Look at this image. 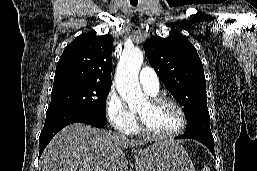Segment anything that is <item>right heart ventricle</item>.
Instances as JSON below:
<instances>
[{
    "mask_svg": "<svg viewBox=\"0 0 257 171\" xmlns=\"http://www.w3.org/2000/svg\"><path fill=\"white\" fill-rule=\"evenodd\" d=\"M150 95L154 96L156 94H150ZM138 132H139V128H138V125H137V123L135 121L133 126L130 128V130L127 133L135 134V133H138Z\"/></svg>",
    "mask_w": 257,
    "mask_h": 171,
    "instance_id": "e07e8e85",
    "label": "right heart ventricle"
}]
</instances>
